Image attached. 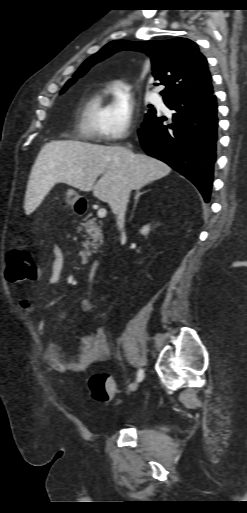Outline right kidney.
Returning a JSON list of instances; mask_svg holds the SVG:
<instances>
[{
  "label": "right kidney",
  "instance_id": "ca27d5eb",
  "mask_svg": "<svg viewBox=\"0 0 247 513\" xmlns=\"http://www.w3.org/2000/svg\"><path fill=\"white\" fill-rule=\"evenodd\" d=\"M149 232V225H146L144 226L142 229H141V234L143 235H147Z\"/></svg>",
  "mask_w": 247,
  "mask_h": 513
}]
</instances>
